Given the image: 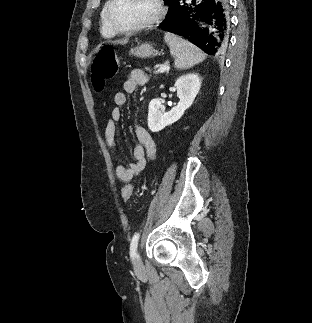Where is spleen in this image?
Wrapping results in <instances>:
<instances>
[{"mask_svg":"<svg viewBox=\"0 0 312 323\" xmlns=\"http://www.w3.org/2000/svg\"><path fill=\"white\" fill-rule=\"evenodd\" d=\"M164 40L168 44L170 54L175 58V66L179 70H189V68L203 62L206 58V54H203L197 46H194L188 40H183L181 36L166 32Z\"/></svg>","mask_w":312,"mask_h":323,"instance_id":"spleen-1","label":"spleen"}]
</instances>
